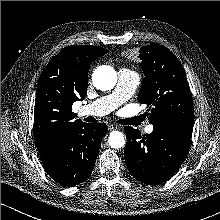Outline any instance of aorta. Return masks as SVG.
I'll return each mask as SVG.
<instances>
[{
	"label": "aorta",
	"mask_w": 220,
	"mask_h": 220,
	"mask_svg": "<svg viewBox=\"0 0 220 220\" xmlns=\"http://www.w3.org/2000/svg\"><path fill=\"white\" fill-rule=\"evenodd\" d=\"M94 86L102 91L111 90L117 82V73L110 66H99L92 75ZM108 143L111 148L119 149L124 147L125 138L119 131L110 132Z\"/></svg>",
	"instance_id": "762f6f07"
}]
</instances>
